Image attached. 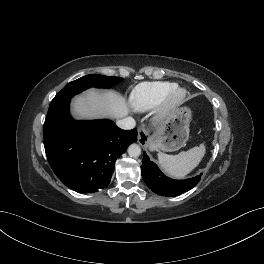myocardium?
I'll return each mask as SVG.
<instances>
[{
	"label": "myocardium",
	"instance_id": "1",
	"mask_svg": "<svg viewBox=\"0 0 264 264\" xmlns=\"http://www.w3.org/2000/svg\"><path fill=\"white\" fill-rule=\"evenodd\" d=\"M187 91L176 86L169 91L157 106V119H166L176 108L185 102Z\"/></svg>",
	"mask_w": 264,
	"mask_h": 264
}]
</instances>
